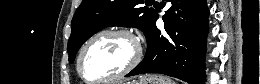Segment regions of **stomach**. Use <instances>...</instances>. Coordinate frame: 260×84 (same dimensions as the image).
<instances>
[{"instance_id": "stomach-1", "label": "stomach", "mask_w": 260, "mask_h": 84, "mask_svg": "<svg viewBox=\"0 0 260 84\" xmlns=\"http://www.w3.org/2000/svg\"><path fill=\"white\" fill-rule=\"evenodd\" d=\"M125 84H173V83L166 76L160 74H147V75H143L138 80H133Z\"/></svg>"}]
</instances>
